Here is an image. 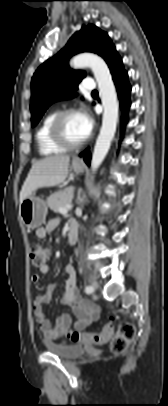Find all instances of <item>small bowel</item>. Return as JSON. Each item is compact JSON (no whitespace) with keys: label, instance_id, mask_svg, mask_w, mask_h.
Returning a JSON list of instances; mask_svg holds the SVG:
<instances>
[{"label":"small bowel","instance_id":"small-bowel-1","mask_svg":"<svg viewBox=\"0 0 168 406\" xmlns=\"http://www.w3.org/2000/svg\"><path fill=\"white\" fill-rule=\"evenodd\" d=\"M58 223V219H52L45 227H40L36 230V236L40 239L45 238L50 231L56 228ZM40 271L42 273H47L50 271V266L45 264L40 267ZM64 273L67 276V280L65 291L62 295V303L71 306L76 317L74 327L76 329H83L99 319V307L94 302L81 297L77 285L76 271L72 264L66 266ZM31 280L33 283H39L41 277L39 274H34L32 275ZM55 289L56 285L52 284L45 293L38 295L33 299L35 320L41 331L49 340H57L60 338L62 330L67 329L72 325L71 317L66 312L59 314L53 324H51L46 317L45 304L52 301Z\"/></svg>","mask_w":168,"mask_h":406}]
</instances>
